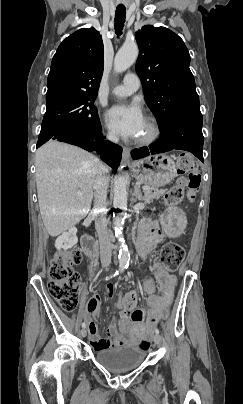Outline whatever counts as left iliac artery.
Returning a JSON list of instances; mask_svg holds the SVG:
<instances>
[{"label":"left iliac artery","instance_id":"44dca946","mask_svg":"<svg viewBox=\"0 0 243 404\" xmlns=\"http://www.w3.org/2000/svg\"><path fill=\"white\" fill-rule=\"evenodd\" d=\"M155 333H156V334H159V330H158V329H156V330H155Z\"/></svg>","mask_w":243,"mask_h":404}]
</instances>
